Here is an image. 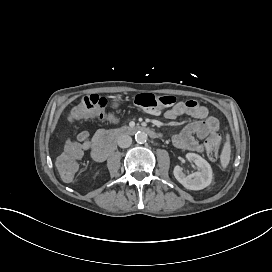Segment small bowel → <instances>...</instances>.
<instances>
[{
  "label": "small bowel",
  "instance_id": "c3829d8e",
  "mask_svg": "<svg viewBox=\"0 0 272 272\" xmlns=\"http://www.w3.org/2000/svg\"><path fill=\"white\" fill-rule=\"evenodd\" d=\"M157 113V112H150ZM187 115L196 120L189 122L184 128L173 136V144L178 149L189 150L195 152H203L206 149V144L195 138V135L200 139H204L209 132H218L220 130V122L216 117L209 115L207 107L199 104L195 100H185L175 103L170 109L165 111L167 119H175L179 116ZM101 131L98 132L94 139H90L87 131H81L77 135V140L82 144L83 152H92L97 145Z\"/></svg>",
  "mask_w": 272,
  "mask_h": 272
}]
</instances>
